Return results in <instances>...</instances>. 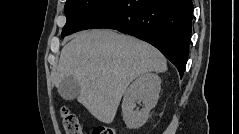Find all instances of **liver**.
<instances>
[{
    "instance_id": "1",
    "label": "liver",
    "mask_w": 239,
    "mask_h": 134,
    "mask_svg": "<svg viewBox=\"0 0 239 134\" xmlns=\"http://www.w3.org/2000/svg\"><path fill=\"white\" fill-rule=\"evenodd\" d=\"M164 56L150 44L111 30L83 31L66 44L53 81L73 77L77 101L96 119L113 122L128 85L138 76L166 72Z\"/></svg>"
}]
</instances>
